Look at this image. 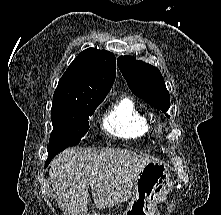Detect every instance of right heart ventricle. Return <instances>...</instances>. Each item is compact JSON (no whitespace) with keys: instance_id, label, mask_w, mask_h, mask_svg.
I'll list each match as a JSON object with an SVG mask.
<instances>
[{"instance_id":"1","label":"right heart ventricle","mask_w":221,"mask_h":215,"mask_svg":"<svg viewBox=\"0 0 221 215\" xmlns=\"http://www.w3.org/2000/svg\"><path fill=\"white\" fill-rule=\"evenodd\" d=\"M103 129L112 137L126 141H145L152 137L148 116L130 97H121L105 113Z\"/></svg>"}]
</instances>
